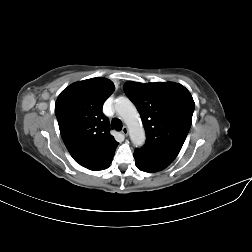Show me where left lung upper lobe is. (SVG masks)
<instances>
[{
  "instance_id": "5c2ea615",
  "label": "left lung upper lobe",
  "mask_w": 252,
  "mask_h": 252,
  "mask_svg": "<svg viewBox=\"0 0 252 252\" xmlns=\"http://www.w3.org/2000/svg\"><path fill=\"white\" fill-rule=\"evenodd\" d=\"M124 90L136 105L146 133L143 150L174 160L192 123L195 107L190 92L171 82H126Z\"/></svg>"
}]
</instances>
